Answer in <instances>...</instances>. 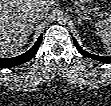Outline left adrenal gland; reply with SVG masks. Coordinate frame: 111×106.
Returning <instances> with one entry per match:
<instances>
[{
	"label": "left adrenal gland",
	"mask_w": 111,
	"mask_h": 106,
	"mask_svg": "<svg viewBox=\"0 0 111 106\" xmlns=\"http://www.w3.org/2000/svg\"><path fill=\"white\" fill-rule=\"evenodd\" d=\"M75 12L78 14V22H79V23H81L82 20H88V19H90L88 16L83 15V14L81 13V11L78 10V9L75 10Z\"/></svg>",
	"instance_id": "left-adrenal-gland-1"
}]
</instances>
